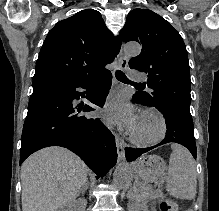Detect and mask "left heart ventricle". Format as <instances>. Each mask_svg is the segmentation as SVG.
<instances>
[{
  "mask_svg": "<svg viewBox=\"0 0 219 211\" xmlns=\"http://www.w3.org/2000/svg\"><path fill=\"white\" fill-rule=\"evenodd\" d=\"M158 124L157 117L154 115H146L139 118L134 130L141 135H151L157 130Z\"/></svg>",
  "mask_w": 219,
  "mask_h": 211,
  "instance_id": "left-heart-ventricle-1",
  "label": "left heart ventricle"
}]
</instances>
